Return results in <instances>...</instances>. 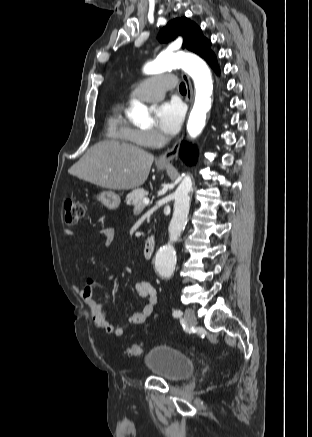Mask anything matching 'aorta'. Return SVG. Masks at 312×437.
Wrapping results in <instances>:
<instances>
[{
	"label": "aorta",
	"instance_id": "obj_1",
	"mask_svg": "<svg viewBox=\"0 0 312 437\" xmlns=\"http://www.w3.org/2000/svg\"><path fill=\"white\" fill-rule=\"evenodd\" d=\"M178 67L192 77L195 85V102L187 123L188 134L195 138L202 132L206 115L211 108L213 83L206 63L188 53H162L144 67V72L158 74ZM130 117L139 123L150 120L147 107L140 102L133 103ZM191 191L192 180L190 176H185L174 194V212L168 228L170 241L160 248L156 256L155 266L162 276H169L175 270L176 254L173 243L178 240L187 223Z\"/></svg>",
	"mask_w": 312,
	"mask_h": 437
}]
</instances>
